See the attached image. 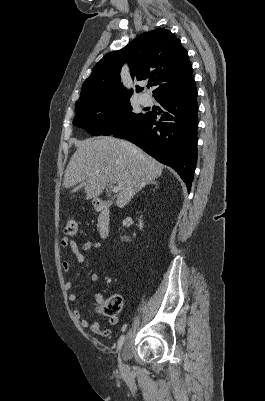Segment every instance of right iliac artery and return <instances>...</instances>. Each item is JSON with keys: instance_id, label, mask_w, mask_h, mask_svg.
Here are the masks:
<instances>
[{"instance_id": "obj_1", "label": "right iliac artery", "mask_w": 265, "mask_h": 401, "mask_svg": "<svg viewBox=\"0 0 265 401\" xmlns=\"http://www.w3.org/2000/svg\"><path fill=\"white\" fill-rule=\"evenodd\" d=\"M125 336L121 335L120 338L118 339V346H117V351L120 352L122 345L124 343Z\"/></svg>"}]
</instances>
